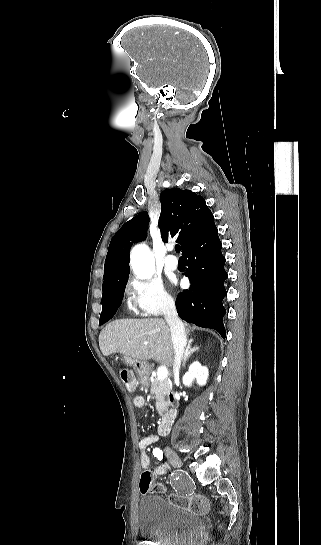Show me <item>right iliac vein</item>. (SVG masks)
Segmentation results:
<instances>
[{"instance_id": "1", "label": "right iliac vein", "mask_w": 321, "mask_h": 545, "mask_svg": "<svg viewBox=\"0 0 321 545\" xmlns=\"http://www.w3.org/2000/svg\"><path fill=\"white\" fill-rule=\"evenodd\" d=\"M165 454L173 467L180 468L182 466L180 457L172 449L167 448Z\"/></svg>"}]
</instances>
